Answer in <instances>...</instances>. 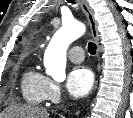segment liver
<instances>
[{"label": "liver", "instance_id": "1", "mask_svg": "<svg viewBox=\"0 0 133 118\" xmlns=\"http://www.w3.org/2000/svg\"><path fill=\"white\" fill-rule=\"evenodd\" d=\"M5 118H49L45 109L33 106H13L3 114Z\"/></svg>", "mask_w": 133, "mask_h": 118}]
</instances>
